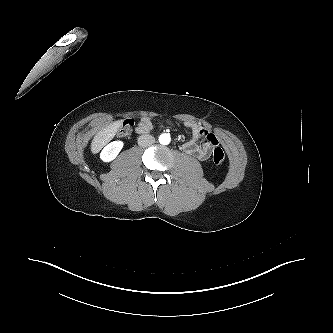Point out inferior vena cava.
<instances>
[{"instance_id":"1","label":"inferior vena cava","mask_w":333,"mask_h":333,"mask_svg":"<svg viewBox=\"0 0 333 333\" xmlns=\"http://www.w3.org/2000/svg\"><path fill=\"white\" fill-rule=\"evenodd\" d=\"M155 142V138L152 135H142L138 138V145L140 147H148Z\"/></svg>"}]
</instances>
